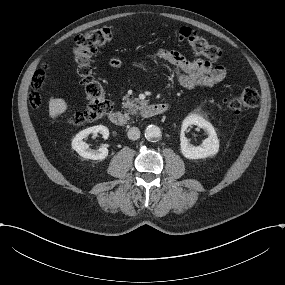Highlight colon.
Masks as SVG:
<instances>
[{
    "mask_svg": "<svg viewBox=\"0 0 285 285\" xmlns=\"http://www.w3.org/2000/svg\"><path fill=\"white\" fill-rule=\"evenodd\" d=\"M175 33L188 43L194 53L205 57L210 62H217L221 59L222 49L211 44L189 27L177 28ZM114 34L115 30L112 27H99L91 29L75 39L72 59L81 79L87 102L83 111L76 112L69 118V122L73 126H81L101 119L112 110V103L107 98L104 87L92 75L91 59L100 48L112 39ZM45 80L46 72L44 70H38L33 77L29 96V103L33 108H38L41 105L39 91ZM258 104L259 94L252 87L243 89L226 101L227 108L236 112L254 109Z\"/></svg>",
    "mask_w": 285,
    "mask_h": 285,
    "instance_id": "1",
    "label": "colon"
}]
</instances>
